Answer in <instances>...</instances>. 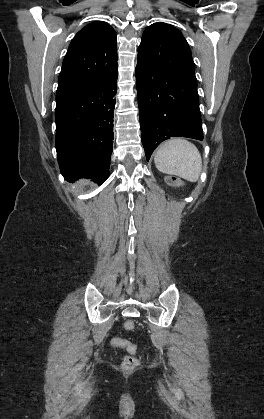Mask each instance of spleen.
Wrapping results in <instances>:
<instances>
[{"label":"spleen","instance_id":"1","mask_svg":"<svg viewBox=\"0 0 264 419\" xmlns=\"http://www.w3.org/2000/svg\"><path fill=\"white\" fill-rule=\"evenodd\" d=\"M154 162L156 168L165 174L176 175L190 182L199 179L202 159L197 147L182 138H172L157 150Z\"/></svg>","mask_w":264,"mask_h":419}]
</instances>
